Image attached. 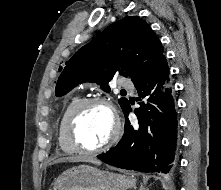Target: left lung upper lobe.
Masks as SVG:
<instances>
[{"label":"left lung upper lobe","mask_w":221,"mask_h":190,"mask_svg":"<svg viewBox=\"0 0 221 190\" xmlns=\"http://www.w3.org/2000/svg\"><path fill=\"white\" fill-rule=\"evenodd\" d=\"M163 56L162 44L149 25L139 17H125L107 27L65 63L56 84V96L65 95L84 82L97 83L109 93L108 83L115 75L128 77L134 83ZM118 101L123 111L129 105L126 98Z\"/></svg>","instance_id":"1"}]
</instances>
